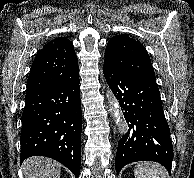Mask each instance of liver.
<instances>
[{
	"instance_id": "6515ba94",
	"label": "liver",
	"mask_w": 194,
	"mask_h": 178,
	"mask_svg": "<svg viewBox=\"0 0 194 178\" xmlns=\"http://www.w3.org/2000/svg\"><path fill=\"white\" fill-rule=\"evenodd\" d=\"M24 178H60V165L50 158L32 157L22 166Z\"/></svg>"
}]
</instances>
